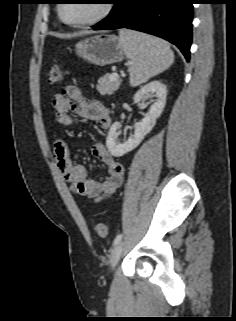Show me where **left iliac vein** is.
Wrapping results in <instances>:
<instances>
[{"mask_svg": "<svg viewBox=\"0 0 236 321\" xmlns=\"http://www.w3.org/2000/svg\"><path fill=\"white\" fill-rule=\"evenodd\" d=\"M122 248H123V242H119L118 244H116L111 252V256H110V266L112 269L115 268V266L117 265L120 257H121V253H122Z\"/></svg>", "mask_w": 236, "mask_h": 321, "instance_id": "4c4485c4", "label": "left iliac vein"}]
</instances>
